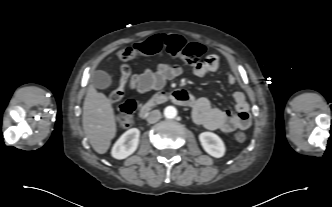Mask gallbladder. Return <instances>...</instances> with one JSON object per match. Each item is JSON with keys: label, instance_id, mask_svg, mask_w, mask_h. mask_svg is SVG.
Listing matches in <instances>:
<instances>
[{"label": "gallbladder", "instance_id": "1", "mask_svg": "<svg viewBox=\"0 0 332 207\" xmlns=\"http://www.w3.org/2000/svg\"><path fill=\"white\" fill-rule=\"evenodd\" d=\"M92 83L96 88L106 89L111 86L112 79L108 73L98 70L92 76Z\"/></svg>", "mask_w": 332, "mask_h": 207}]
</instances>
